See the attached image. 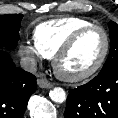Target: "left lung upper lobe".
<instances>
[{
  "label": "left lung upper lobe",
  "instance_id": "1",
  "mask_svg": "<svg viewBox=\"0 0 118 118\" xmlns=\"http://www.w3.org/2000/svg\"><path fill=\"white\" fill-rule=\"evenodd\" d=\"M109 30L111 39L110 53L100 73L118 67V25L110 21Z\"/></svg>",
  "mask_w": 118,
  "mask_h": 118
}]
</instances>
